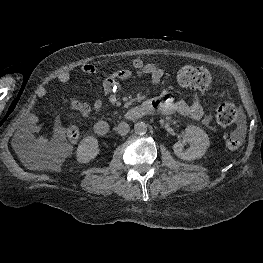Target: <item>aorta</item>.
Returning <instances> with one entry per match:
<instances>
[{
    "label": "aorta",
    "instance_id": "1",
    "mask_svg": "<svg viewBox=\"0 0 263 263\" xmlns=\"http://www.w3.org/2000/svg\"><path fill=\"white\" fill-rule=\"evenodd\" d=\"M148 126L145 122H137L134 125V131L138 135H143L147 132Z\"/></svg>",
    "mask_w": 263,
    "mask_h": 263
}]
</instances>
